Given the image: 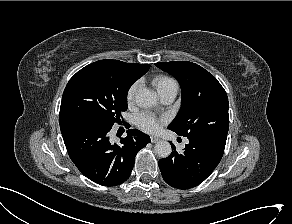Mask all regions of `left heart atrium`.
Returning <instances> with one entry per match:
<instances>
[{"instance_id":"left-heart-atrium-1","label":"left heart atrium","mask_w":292,"mask_h":224,"mask_svg":"<svg viewBox=\"0 0 292 224\" xmlns=\"http://www.w3.org/2000/svg\"><path fill=\"white\" fill-rule=\"evenodd\" d=\"M154 114L144 111L137 115L136 124L146 132H157L162 124Z\"/></svg>"}]
</instances>
